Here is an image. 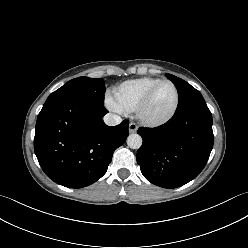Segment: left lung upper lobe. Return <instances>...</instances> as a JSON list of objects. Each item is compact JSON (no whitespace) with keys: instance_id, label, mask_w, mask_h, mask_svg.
I'll return each instance as SVG.
<instances>
[{"instance_id":"5c2ea615","label":"left lung upper lobe","mask_w":248,"mask_h":248,"mask_svg":"<svg viewBox=\"0 0 248 248\" xmlns=\"http://www.w3.org/2000/svg\"><path fill=\"white\" fill-rule=\"evenodd\" d=\"M166 77L171 80L179 90V103L176 111L185 109L198 101H204L201 93L183 79L171 74H166Z\"/></svg>"}]
</instances>
